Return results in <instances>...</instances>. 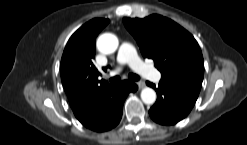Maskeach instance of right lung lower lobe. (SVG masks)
<instances>
[{"mask_svg":"<svg viewBox=\"0 0 247 145\" xmlns=\"http://www.w3.org/2000/svg\"><path fill=\"white\" fill-rule=\"evenodd\" d=\"M137 85L129 80L119 85L97 101L86 112L78 116L79 122L86 128L96 132H104L114 128L121 120L123 103L130 92H135Z\"/></svg>","mask_w":247,"mask_h":145,"instance_id":"98d812e1","label":"right lung lower lobe"}]
</instances>
